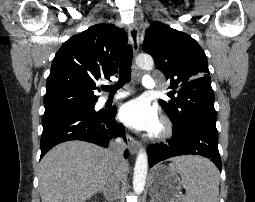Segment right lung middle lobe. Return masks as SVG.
I'll use <instances>...</instances> for the list:
<instances>
[{
  "instance_id": "1",
  "label": "right lung middle lobe",
  "mask_w": 255,
  "mask_h": 202,
  "mask_svg": "<svg viewBox=\"0 0 255 202\" xmlns=\"http://www.w3.org/2000/svg\"><path fill=\"white\" fill-rule=\"evenodd\" d=\"M94 106H95V103H86V104H81V105L73 106V107H70V108L65 109V110L80 109V110H86V111L94 112L96 114L99 113V112H96L94 110Z\"/></svg>"
}]
</instances>
